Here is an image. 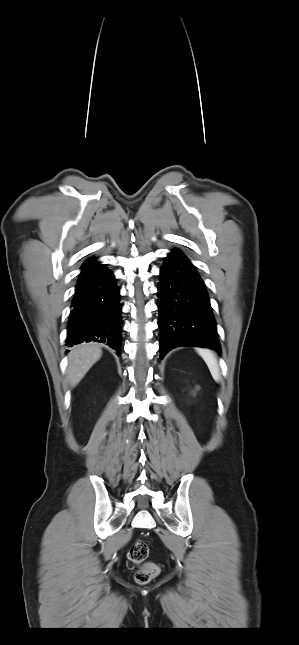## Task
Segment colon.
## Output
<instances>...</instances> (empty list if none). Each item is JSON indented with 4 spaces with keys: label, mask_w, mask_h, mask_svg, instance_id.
Wrapping results in <instances>:
<instances>
[{
    "label": "colon",
    "mask_w": 299,
    "mask_h": 645,
    "mask_svg": "<svg viewBox=\"0 0 299 645\" xmlns=\"http://www.w3.org/2000/svg\"><path fill=\"white\" fill-rule=\"evenodd\" d=\"M149 554V548L146 542L137 539L130 547L128 558L136 565H141L135 574V580L138 584L144 585L150 582L159 574V566L152 562H145Z\"/></svg>",
    "instance_id": "5ec220e1"
}]
</instances>
